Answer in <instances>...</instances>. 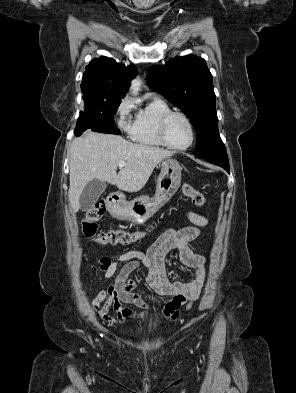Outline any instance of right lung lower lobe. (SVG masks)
Returning a JSON list of instances; mask_svg holds the SVG:
<instances>
[{
  "label": "right lung lower lobe",
  "mask_w": 296,
  "mask_h": 393,
  "mask_svg": "<svg viewBox=\"0 0 296 393\" xmlns=\"http://www.w3.org/2000/svg\"><path fill=\"white\" fill-rule=\"evenodd\" d=\"M87 129H90L95 132H101V133L118 134V135L121 134L120 130L115 127L114 128L107 127V126L100 125L97 123H92V122L77 123L74 134L76 136H80Z\"/></svg>",
  "instance_id": "1"
}]
</instances>
